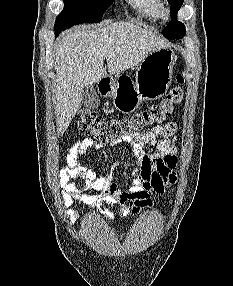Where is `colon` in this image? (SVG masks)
Instances as JSON below:
<instances>
[{
    "instance_id": "colon-1",
    "label": "colon",
    "mask_w": 233,
    "mask_h": 286,
    "mask_svg": "<svg viewBox=\"0 0 233 286\" xmlns=\"http://www.w3.org/2000/svg\"><path fill=\"white\" fill-rule=\"evenodd\" d=\"M176 81L178 86L172 88L165 98L128 117L106 119L93 110L82 109L77 117L78 128L101 143L121 142L127 137L140 134L146 127L162 123L182 102L184 78L180 73L176 75ZM149 197L146 191L136 193L129 202L132 213H137L147 206Z\"/></svg>"
}]
</instances>
